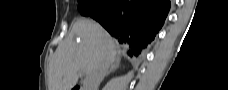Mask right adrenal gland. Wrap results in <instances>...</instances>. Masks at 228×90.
Listing matches in <instances>:
<instances>
[{"mask_svg": "<svg viewBox=\"0 0 228 90\" xmlns=\"http://www.w3.org/2000/svg\"><path fill=\"white\" fill-rule=\"evenodd\" d=\"M119 65H120V60L117 59L114 63L111 64L105 76H108L111 72H114L115 70H117V68H119Z\"/></svg>", "mask_w": 228, "mask_h": 90, "instance_id": "right-adrenal-gland-1", "label": "right adrenal gland"}]
</instances>
